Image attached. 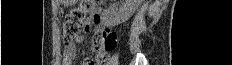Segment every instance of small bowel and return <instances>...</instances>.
I'll return each mask as SVG.
<instances>
[{"instance_id":"obj_1","label":"small bowel","mask_w":232,"mask_h":65,"mask_svg":"<svg viewBox=\"0 0 232 65\" xmlns=\"http://www.w3.org/2000/svg\"><path fill=\"white\" fill-rule=\"evenodd\" d=\"M93 27L96 28V37H105L110 31L108 29H104L101 25V17L99 13H95L92 15L90 19H88L84 26V32H89ZM76 55V48L73 43L67 44L64 48L63 52V65H72L73 60ZM82 65H104L103 62H91L90 60L85 61Z\"/></svg>"}]
</instances>
